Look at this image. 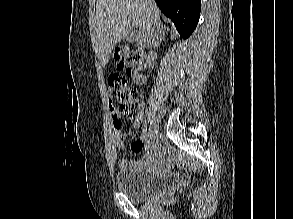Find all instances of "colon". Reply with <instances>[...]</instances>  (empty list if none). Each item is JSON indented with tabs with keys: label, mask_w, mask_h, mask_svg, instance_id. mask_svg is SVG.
<instances>
[{
	"label": "colon",
	"mask_w": 293,
	"mask_h": 219,
	"mask_svg": "<svg viewBox=\"0 0 293 219\" xmlns=\"http://www.w3.org/2000/svg\"><path fill=\"white\" fill-rule=\"evenodd\" d=\"M114 60L120 72L112 73L108 79L109 89L119 104L121 113L130 117L135 111L136 89L128 80V75L135 71L139 56L128 48H118Z\"/></svg>",
	"instance_id": "colon-1"
}]
</instances>
